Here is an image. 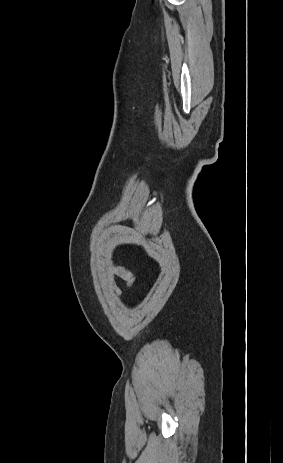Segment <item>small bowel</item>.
Instances as JSON below:
<instances>
[{
    "label": "small bowel",
    "mask_w": 283,
    "mask_h": 463,
    "mask_svg": "<svg viewBox=\"0 0 283 463\" xmlns=\"http://www.w3.org/2000/svg\"><path fill=\"white\" fill-rule=\"evenodd\" d=\"M113 274L116 278H119L125 282L128 283V285H131V276L129 272L121 267H117L113 270ZM109 286L112 292L116 295H120V288L117 285V282L115 279H110L109 280Z\"/></svg>",
    "instance_id": "1"
}]
</instances>
